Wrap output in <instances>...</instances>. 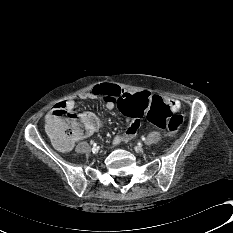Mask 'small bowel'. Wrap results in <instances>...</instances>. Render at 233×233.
Masks as SVG:
<instances>
[{
  "label": "small bowel",
  "mask_w": 233,
  "mask_h": 233,
  "mask_svg": "<svg viewBox=\"0 0 233 233\" xmlns=\"http://www.w3.org/2000/svg\"><path fill=\"white\" fill-rule=\"evenodd\" d=\"M111 84H114V83H111ZM114 85H116L117 87H120L117 84H114ZM93 89H91L88 92L82 93L80 95V99H82V100L95 99L94 96H93ZM161 99H162L163 103L165 105H167V106H170V105H172L174 103L179 106V102L172 99V98L161 97ZM63 104L66 105L67 107L71 108V109H73L74 106H75V103H74V101L72 99H67ZM105 106H106L107 109H113L115 107V106L111 105L110 103H105ZM127 116H128L129 125H128L127 129L124 132H122V133L115 136V138H114L115 143L128 142V141L132 140L138 133V130L140 128V119H139V117L138 118H133V117H131L129 115H127ZM76 140H79V139H71L69 141H65V140H62V139H55L54 138V142H55L56 147L62 152L70 150Z\"/></svg>",
  "instance_id": "small-bowel-1"
}]
</instances>
